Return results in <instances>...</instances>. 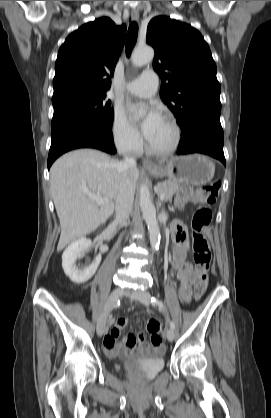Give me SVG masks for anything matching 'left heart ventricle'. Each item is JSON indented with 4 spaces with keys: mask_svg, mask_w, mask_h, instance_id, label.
Segmentation results:
<instances>
[{
    "mask_svg": "<svg viewBox=\"0 0 271 418\" xmlns=\"http://www.w3.org/2000/svg\"><path fill=\"white\" fill-rule=\"evenodd\" d=\"M174 139V132L171 125L163 118L154 135L149 140L155 148H167Z\"/></svg>",
    "mask_w": 271,
    "mask_h": 418,
    "instance_id": "obj_1",
    "label": "left heart ventricle"
}]
</instances>
